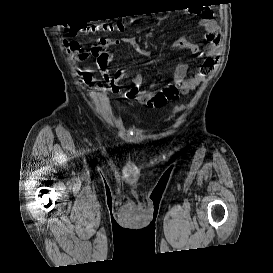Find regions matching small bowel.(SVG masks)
Instances as JSON below:
<instances>
[{"mask_svg": "<svg viewBox=\"0 0 273 273\" xmlns=\"http://www.w3.org/2000/svg\"><path fill=\"white\" fill-rule=\"evenodd\" d=\"M205 32V44L199 45L187 39H176L170 43L168 50H188L192 54L204 55L206 58L201 63L198 71L192 75H187L188 65L184 62L178 63L175 67L173 79L163 89L155 90L141 89V85L146 82L144 74H138L133 78L132 85L124 93V99L133 104L138 101L148 108L160 109L167 103L176 100L179 95L187 94L194 90L208 77L217 62L220 49V30L217 22L210 12H203L199 21ZM76 35V34H74ZM124 43L137 54L144 55V51L137 45L135 38L124 37L122 39L104 37L98 39L90 49V53L97 60L99 71L110 86L114 94L120 92L119 83L126 78L124 70H118L114 74L108 71L109 63L114 59V54L108 48Z\"/></svg>", "mask_w": 273, "mask_h": 273, "instance_id": "small-bowel-1", "label": "small bowel"}]
</instances>
